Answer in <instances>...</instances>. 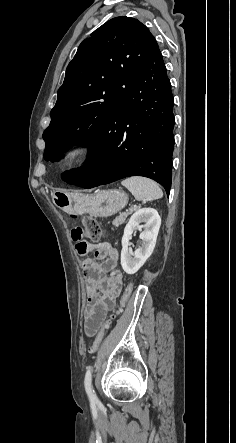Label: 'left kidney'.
<instances>
[{
	"label": "left kidney",
	"instance_id": "5707ae66",
	"mask_svg": "<svg viewBox=\"0 0 236 443\" xmlns=\"http://www.w3.org/2000/svg\"><path fill=\"white\" fill-rule=\"evenodd\" d=\"M144 223V230L140 233L142 246L138 247L133 256L129 253L130 239L134 230ZM161 226V218L153 208H142L137 210L130 218L124 229L122 237L121 266L127 274L136 273L151 256Z\"/></svg>",
	"mask_w": 236,
	"mask_h": 443
}]
</instances>
